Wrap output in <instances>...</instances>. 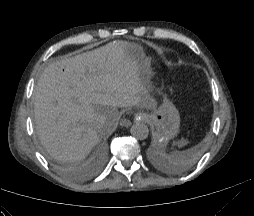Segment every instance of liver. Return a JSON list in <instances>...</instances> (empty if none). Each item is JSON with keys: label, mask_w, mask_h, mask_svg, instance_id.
<instances>
[{"label": "liver", "mask_w": 254, "mask_h": 216, "mask_svg": "<svg viewBox=\"0 0 254 216\" xmlns=\"http://www.w3.org/2000/svg\"><path fill=\"white\" fill-rule=\"evenodd\" d=\"M148 83L122 42L50 63L34 91L41 144L58 161L84 159L100 138L116 129L118 108H153Z\"/></svg>", "instance_id": "obj_1"}]
</instances>
